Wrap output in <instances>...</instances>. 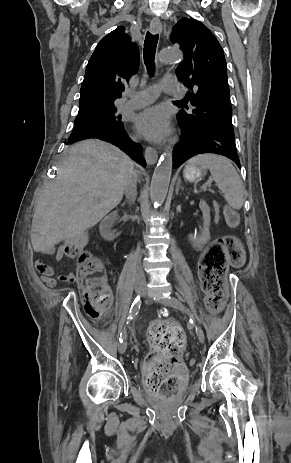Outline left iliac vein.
I'll use <instances>...</instances> for the list:
<instances>
[{"label":"left iliac vein","mask_w":291,"mask_h":463,"mask_svg":"<svg viewBox=\"0 0 291 463\" xmlns=\"http://www.w3.org/2000/svg\"><path fill=\"white\" fill-rule=\"evenodd\" d=\"M158 301L165 304L166 306H170V307L176 308V309H178V310H180L182 312H186V309L183 306V304L178 299H176L174 297L159 298ZM195 332H196V335H197L198 340L200 341V343H204L205 335H204V332H203L202 328L199 325H195Z\"/></svg>","instance_id":"4c4485c4"}]
</instances>
